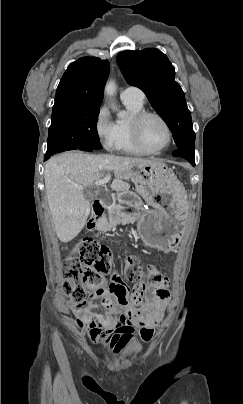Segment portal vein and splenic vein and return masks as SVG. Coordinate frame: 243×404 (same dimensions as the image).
<instances>
[{"label":"portal vein and splenic vein","instance_id":"portal-vein-and-splenic-vein-1","mask_svg":"<svg viewBox=\"0 0 243 404\" xmlns=\"http://www.w3.org/2000/svg\"><path fill=\"white\" fill-rule=\"evenodd\" d=\"M109 180H110V176H106V178H104V180H96L95 184H96V186H101V184H107V182H109ZM117 215L126 216L127 212L126 211L117 212Z\"/></svg>","mask_w":243,"mask_h":404}]
</instances>
